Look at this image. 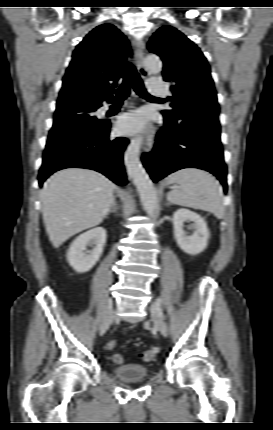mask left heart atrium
Masks as SVG:
<instances>
[{
  "mask_svg": "<svg viewBox=\"0 0 273 430\" xmlns=\"http://www.w3.org/2000/svg\"><path fill=\"white\" fill-rule=\"evenodd\" d=\"M148 115L145 111H137L121 118L119 122V130L123 134H134L145 128Z\"/></svg>",
  "mask_w": 273,
  "mask_h": 430,
  "instance_id": "obj_1",
  "label": "left heart atrium"
}]
</instances>
